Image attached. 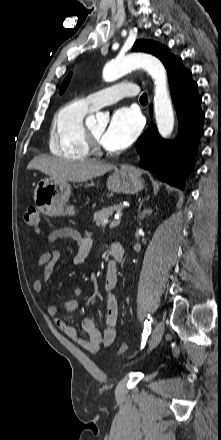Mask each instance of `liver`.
Returning a JSON list of instances; mask_svg holds the SVG:
<instances>
[{
	"label": "liver",
	"mask_w": 221,
	"mask_h": 440,
	"mask_svg": "<svg viewBox=\"0 0 221 440\" xmlns=\"http://www.w3.org/2000/svg\"><path fill=\"white\" fill-rule=\"evenodd\" d=\"M115 168L112 164L75 162L46 155L33 158L27 166V169H36L53 179L67 182H85Z\"/></svg>",
	"instance_id": "liver-1"
}]
</instances>
